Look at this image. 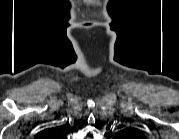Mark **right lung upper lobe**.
Here are the masks:
<instances>
[{"label": "right lung upper lobe", "mask_w": 179, "mask_h": 139, "mask_svg": "<svg viewBox=\"0 0 179 139\" xmlns=\"http://www.w3.org/2000/svg\"><path fill=\"white\" fill-rule=\"evenodd\" d=\"M50 135L55 136V135H62V134L60 133L58 128L47 129L41 134V136H50Z\"/></svg>", "instance_id": "cb5924a9"}]
</instances>
